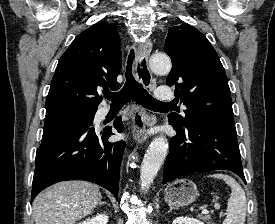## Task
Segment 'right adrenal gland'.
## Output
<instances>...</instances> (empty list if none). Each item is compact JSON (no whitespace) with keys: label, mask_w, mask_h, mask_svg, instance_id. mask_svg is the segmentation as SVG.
Returning <instances> with one entry per match:
<instances>
[{"label":"right adrenal gland","mask_w":275,"mask_h":224,"mask_svg":"<svg viewBox=\"0 0 275 224\" xmlns=\"http://www.w3.org/2000/svg\"><path fill=\"white\" fill-rule=\"evenodd\" d=\"M105 204L106 202H102V201L99 202V205H105Z\"/></svg>","instance_id":"2a0ac1e0"}]
</instances>
